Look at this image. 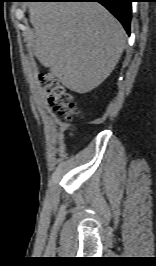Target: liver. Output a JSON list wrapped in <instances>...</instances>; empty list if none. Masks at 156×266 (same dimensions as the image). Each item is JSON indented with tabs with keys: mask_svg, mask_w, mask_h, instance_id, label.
Here are the masks:
<instances>
[{
	"mask_svg": "<svg viewBox=\"0 0 156 266\" xmlns=\"http://www.w3.org/2000/svg\"><path fill=\"white\" fill-rule=\"evenodd\" d=\"M29 18L34 34L28 48L76 93L107 79L126 46L123 26L99 3L36 2L29 5Z\"/></svg>",
	"mask_w": 156,
	"mask_h": 266,
	"instance_id": "obj_1",
	"label": "liver"
}]
</instances>
